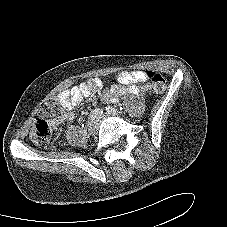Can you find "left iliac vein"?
Returning a JSON list of instances; mask_svg holds the SVG:
<instances>
[{"label":"left iliac vein","mask_w":227,"mask_h":227,"mask_svg":"<svg viewBox=\"0 0 227 227\" xmlns=\"http://www.w3.org/2000/svg\"><path fill=\"white\" fill-rule=\"evenodd\" d=\"M116 115V114H115ZM110 115L108 114H105V115H102L101 117L98 118V122H101L103 119L109 117Z\"/></svg>","instance_id":"obj_1"}]
</instances>
